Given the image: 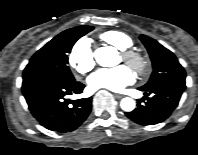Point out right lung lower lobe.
<instances>
[{"mask_svg": "<svg viewBox=\"0 0 198 155\" xmlns=\"http://www.w3.org/2000/svg\"><path fill=\"white\" fill-rule=\"evenodd\" d=\"M80 82L64 83L50 78L23 79L22 92L33 116L45 128L59 133L77 129L88 117L92 98L70 101L67 96L80 94Z\"/></svg>", "mask_w": 198, "mask_h": 155, "instance_id": "right-lung-lower-lobe-1", "label": "right lung lower lobe"}]
</instances>
